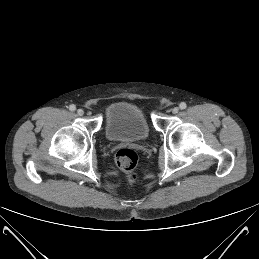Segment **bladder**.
<instances>
[{"label":"bladder","instance_id":"obj_1","mask_svg":"<svg viewBox=\"0 0 259 259\" xmlns=\"http://www.w3.org/2000/svg\"><path fill=\"white\" fill-rule=\"evenodd\" d=\"M149 125L142 110L133 103L118 101L108 106L104 116V133L109 141H143Z\"/></svg>","mask_w":259,"mask_h":259}]
</instances>
